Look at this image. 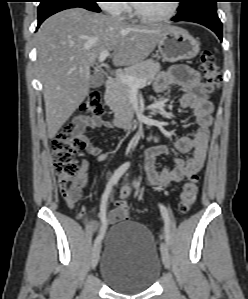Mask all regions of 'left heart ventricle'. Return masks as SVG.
<instances>
[{
	"mask_svg": "<svg viewBox=\"0 0 248 299\" xmlns=\"http://www.w3.org/2000/svg\"><path fill=\"white\" fill-rule=\"evenodd\" d=\"M139 10L147 16L159 17L165 15L170 8V1H150L137 3Z\"/></svg>",
	"mask_w": 248,
	"mask_h": 299,
	"instance_id": "1",
	"label": "left heart ventricle"
}]
</instances>
